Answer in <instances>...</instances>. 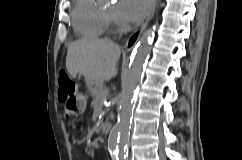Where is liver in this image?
Listing matches in <instances>:
<instances>
[{
	"mask_svg": "<svg viewBox=\"0 0 242 160\" xmlns=\"http://www.w3.org/2000/svg\"><path fill=\"white\" fill-rule=\"evenodd\" d=\"M120 54V46L112 41L79 39L68 46L66 69L73 78L80 74L103 83L117 75Z\"/></svg>",
	"mask_w": 242,
	"mask_h": 160,
	"instance_id": "6515ba94",
	"label": "liver"
}]
</instances>
